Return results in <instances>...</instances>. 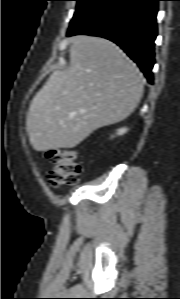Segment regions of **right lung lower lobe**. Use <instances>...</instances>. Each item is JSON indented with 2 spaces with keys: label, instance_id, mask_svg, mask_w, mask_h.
Instances as JSON below:
<instances>
[{
  "label": "right lung lower lobe",
  "instance_id": "98d812e1",
  "mask_svg": "<svg viewBox=\"0 0 180 299\" xmlns=\"http://www.w3.org/2000/svg\"><path fill=\"white\" fill-rule=\"evenodd\" d=\"M159 1L104 0L70 26L67 36L87 34L115 42L137 63L148 82L152 83Z\"/></svg>",
  "mask_w": 180,
  "mask_h": 299
}]
</instances>
